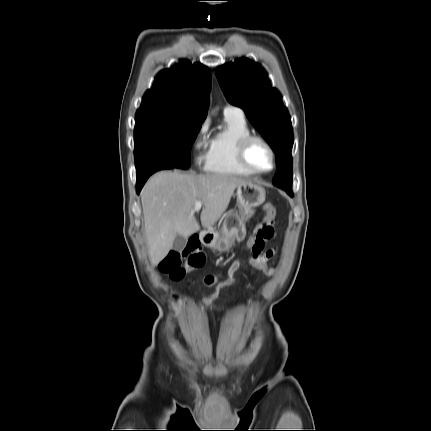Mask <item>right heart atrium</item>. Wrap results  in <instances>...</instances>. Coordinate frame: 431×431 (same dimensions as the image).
<instances>
[{"instance_id":"right-heart-atrium-1","label":"right heart atrium","mask_w":431,"mask_h":431,"mask_svg":"<svg viewBox=\"0 0 431 431\" xmlns=\"http://www.w3.org/2000/svg\"><path fill=\"white\" fill-rule=\"evenodd\" d=\"M207 131V124L205 122L201 123L191 140V151L193 153L194 163L197 166L206 162L208 147Z\"/></svg>"}]
</instances>
